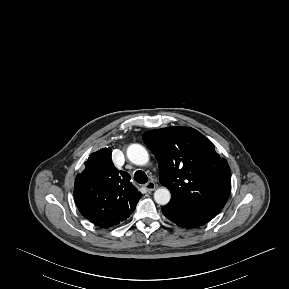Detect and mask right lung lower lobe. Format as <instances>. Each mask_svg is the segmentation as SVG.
Masks as SVG:
<instances>
[{
	"instance_id": "right-lung-lower-lobe-1",
	"label": "right lung lower lobe",
	"mask_w": 289,
	"mask_h": 289,
	"mask_svg": "<svg viewBox=\"0 0 289 289\" xmlns=\"http://www.w3.org/2000/svg\"><path fill=\"white\" fill-rule=\"evenodd\" d=\"M134 210H135V208L134 209H127V210L120 212L115 217H112V218L107 219L105 221H93L92 220L91 222L94 223L95 225L101 227V228H108V227H111L113 225H117L121 221L125 220L127 217H129L132 214V212Z\"/></svg>"
}]
</instances>
